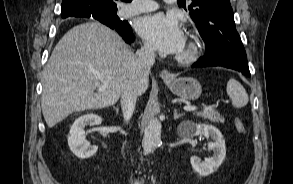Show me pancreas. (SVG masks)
<instances>
[{"instance_id":"1","label":"pancreas","mask_w":293,"mask_h":184,"mask_svg":"<svg viewBox=\"0 0 293 184\" xmlns=\"http://www.w3.org/2000/svg\"><path fill=\"white\" fill-rule=\"evenodd\" d=\"M196 115L202 117L203 119H208L214 123H224L225 121L223 116L211 108L204 109L202 112H196Z\"/></svg>"}]
</instances>
